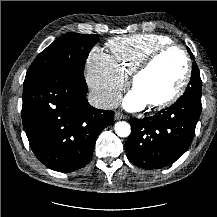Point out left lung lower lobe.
Returning <instances> with one entry per match:
<instances>
[{
    "label": "left lung lower lobe",
    "instance_id": "1",
    "mask_svg": "<svg viewBox=\"0 0 217 217\" xmlns=\"http://www.w3.org/2000/svg\"><path fill=\"white\" fill-rule=\"evenodd\" d=\"M201 96L183 94L172 106L144 119H131L127 157L144 169L174 163L189 148L201 113Z\"/></svg>",
    "mask_w": 217,
    "mask_h": 217
}]
</instances>
